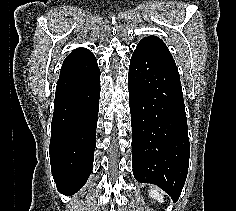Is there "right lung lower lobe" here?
<instances>
[{"label":"right lung lower lobe","mask_w":236,"mask_h":211,"mask_svg":"<svg viewBox=\"0 0 236 211\" xmlns=\"http://www.w3.org/2000/svg\"><path fill=\"white\" fill-rule=\"evenodd\" d=\"M100 70L59 79L49 146L53 178L59 192L71 195L93 169Z\"/></svg>","instance_id":"right-lung-lower-lobe-1"}]
</instances>
